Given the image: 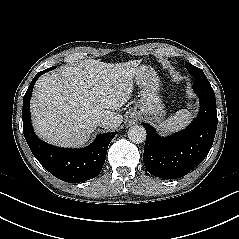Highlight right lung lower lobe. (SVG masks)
I'll list each match as a JSON object with an SVG mask.
<instances>
[{
    "label": "right lung lower lobe",
    "mask_w": 239,
    "mask_h": 239,
    "mask_svg": "<svg viewBox=\"0 0 239 239\" xmlns=\"http://www.w3.org/2000/svg\"><path fill=\"white\" fill-rule=\"evenodd\" d=\"M47 71L50 69L36 74L23 98L22 118L25 139L35 158L52 175L70 183L87 181L101 172L109 143L116 133L101 134L90 146L83 149L59 148L41 141L31 125L29 102L36 80Z\"/></svg>",
    "instance_id": "obj_1"
}]
</instances>
